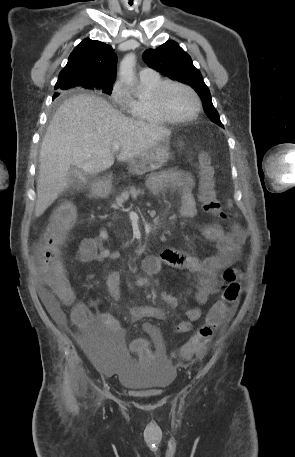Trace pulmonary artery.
<instances>
[{
  "label": "pulmonary artery",
  "mask_w": 295,
  "mask_h": 457,
  "mask_svg": "<svg viewBox=\"0 0 295 457\" xmlns=\"http://www.w3.org/2000/svg\"><path fill=\"white\" fill-rule=\"evenodd\" d=\"M157 75L156 72L151 68H143L139 72V76L141 79L151 78Z\"/></svg>",
  "instance_id": "pulmonary-artery-1"
}]
</instances>
